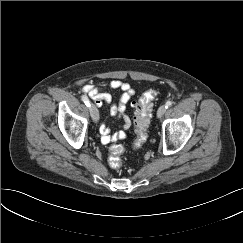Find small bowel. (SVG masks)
<instances>
[{
    "mask_svg": "<svg viewBox=\"0 0 243 243\" xmlns=\"http://www.w3.org/2000/svg\"><path fill=\"white\" fill-rule=\"evenodd\" d=\"M108 87L112 90L122 91V95L117 103L113 102V98L110 93L103 91L96 85L86 84L82 87V92L87 94L97 106H102L103 103L110 104V114L113 117L122 118L124 121L122 129L115 133H111L110 128L104 123L101 125L100 132L101 141L103 144H108L125 138V131L130 126V118L126 114V105L134 94V90L131 88V86L121 80H112L109 82Z\"/></svg>",
    "mask_w": 243,
    "mask_h": 243,
    "instance_id": "obj_1",
    "label": "small bowel"
}]
</instances>
